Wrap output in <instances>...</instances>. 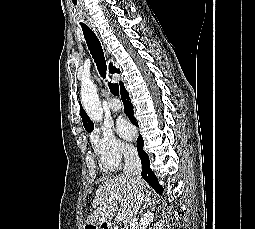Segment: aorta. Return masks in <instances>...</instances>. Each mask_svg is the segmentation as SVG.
Returning <instances> with one entry per match:
<instances>
[{
  "mask_svg": "<svg viewBox=\"0 0 255 229\" xmlns=\"http://www.w3.org/2000/svg\"><path fill=\"white\" fill-rule=\"evenodd\" d=\"M82 105L92 121H100L103 118V110L93 82L85 81L81 85Z\"/></svg>",
  "mask_w": 255,
  "mask_h": 229,
  "instance_id": "aorta-1",
  "label": "aorta"
}]
</instances>
